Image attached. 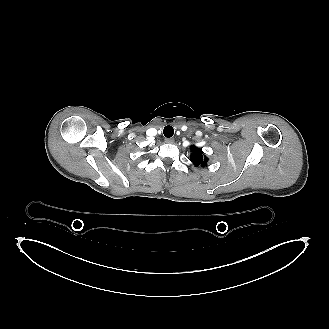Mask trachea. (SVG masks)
<instances>
[{
    "mask_svg": "<svg viewBox=\"0 0 329 329\" xmlns=\"http://www.w3.org/2000/svg\"><path fill=\"white\" fill-rule=\"evenodd\" d=\"M164 136L170 138L174 134V129L171 126H166L163 130Z\"/></svg>",
    "mask_w": 329,
    "mask_h": 329,
    "instance_id": "3493384b",
    "label": "trachea"
}]
</instances>
